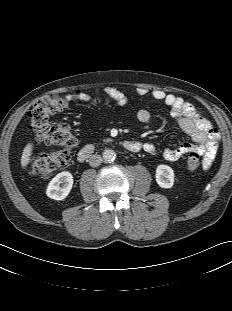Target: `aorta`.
<instances>
[{
    "instance_id": "1",
    "label": "aorta",
    "mask_w": 232,
    "mask_h": 311,
    "mask_svg": "<svg viewBox=\"0 0 232 311\" xmlns=\"http://www.w3.org/2000/svg\"><path fill=\"white\" fill-rule=\"evenodd\" d=\"M102 156H103V160L105 162L112 163V162L115 161L117 155H116V152L114 150H112V149H105L103 151Z\"/></svg>"
}]
</instances>
